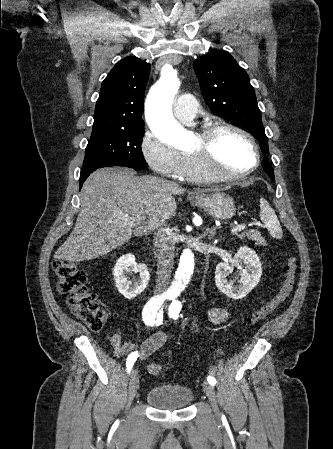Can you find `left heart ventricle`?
<instances>
[{
    "instance_id": "1",
    "label": "left heart ventricle",
    "mask_w": 333,
    "mask_h": 449,
    "mask_svg": "<svg viewBox=\"0 0 333 449\" xmlns=\"http://www.w3.org/2000/svg\"><path fill=\"white\" fill-rule=\"evenodd\" d=\"M199 145L200 140L197 138L192 151ZM254 162V150L241 135L223 131L216 136L211 155V165L214 170L222 174H236L249 169Z\"/></svg>"
}]
</instances>
